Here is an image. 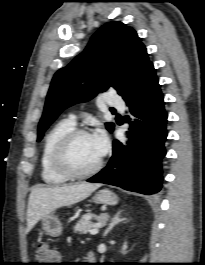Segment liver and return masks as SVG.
I'll return each instance as SVG.
<instances>
[{
  "label": "liver",
  "instance_id": "1",
  "mask_svg": "<svg viewBox=\"0 0 205 265\" xmlns=\"http://www.w3.org/2000/svg\"><path fill=\"white\" fill-rule=\"evenodd\" d=\"M100 184L80 183L56 187H36L31 190L27 209V231L56 209L87 198Z\"/></svg>",
  "mask_w": 205,
  "mask_h": 265
}]
</instances>
